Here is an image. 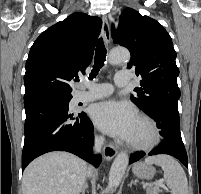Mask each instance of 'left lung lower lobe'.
Instances as JSON below:
<instances>
[{
  "instance_id": "0a47b994",
  "label": "left lung lower lobe",
  "mask_w": 201,
  "mask_h": 194,
  "mask_svg": "<svg viewBox=\"0 0 201 194\" xmlns=\"http://www.w3.org/2000/svg\"><path fill=\"white\" fill-rule=\"evenodd\" d=\"M152 116L157 127L161 129L160 134L163 137L161 144L153 149L148 155L168 154L180 160L188 168L187 153L182 142L180 133V120L178 108L171 106L157 107ZM144 153L131 155L129 164H132L142 158Z\"/></svg>"
}]
</instances>
